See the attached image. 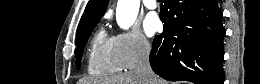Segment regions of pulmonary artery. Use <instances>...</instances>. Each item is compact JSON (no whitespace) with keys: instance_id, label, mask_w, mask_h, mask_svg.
Instances as JSON below:
<instances>
[{"instance_id":"1","label":"pulmonary artery","mask_w":260,"mask_h":84,"mask_svg":"<svg viewBox=\"0 0 260 84\" xmlns=\"http://www.w3.org/2000/svg\"><path fill=\"white\" fill-rule=\"evenodd\" d=\"M143 4L146 8L154 10L157 7V3L155 0H143Z\"/></svg>"}]
</instances>
